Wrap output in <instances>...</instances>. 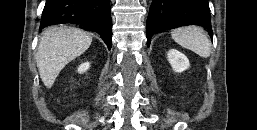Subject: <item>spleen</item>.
<instances>
[{
    "mask_svg": "<svg viewBox=\"0 0 257 130\" xmlns=\"http://www.w3.org/2000/svg\"><path fill=\"white\" fill-rule=\"evenodd\" d=\"M173 40L184 48H187L203 58L211 53V43L207 34L197 26H188L173 30Z\"/></svg>",
    "mask_w": 257,
    "mask_h": 130,
    "instance_id": "obj_1",
    "label": "spleen"
}]
</instances>
